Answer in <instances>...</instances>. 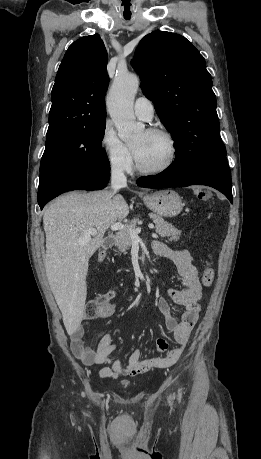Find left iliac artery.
I'll return each instance as SVG.
<instances>
[{"instance_id":"obj_1","label":"left iliac artery","mask_w":261,"mask_h":459,"mask_svg":"<svg viewBox=\"0 0 261 459\" xmlns=\"http://www.w3.org/2000/svg\"><path fill=\"white\" fill-rule=\"evenodd\" d=\"M180 399H181V392H180V390H179V400H180Z\"/></svg>"}]
</instances>
